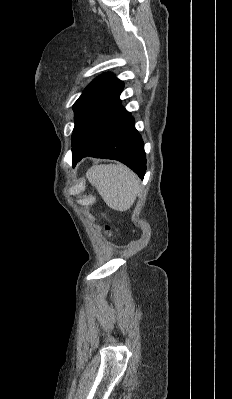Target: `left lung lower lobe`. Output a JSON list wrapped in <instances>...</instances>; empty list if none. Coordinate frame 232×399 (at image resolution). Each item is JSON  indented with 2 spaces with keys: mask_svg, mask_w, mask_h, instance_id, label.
I'll return each instance as SVG.
<instances>
[{
  "mask_svg": "<svg viewBox=\"0 0 232 399\" xmlns=\"http://www.w3.org/2000/svg\"><path fill=\"white\" fill-rule=\"evenodd\" d=\"M87 156L118 160L136 172L141 179L144 178L146 171L144 143L130 113L103 143L75 160L73 166Z\"/></svg>",
  "mask_w": 232,
  "mask_h": 399,
  "instance_id": "obj_1",
  "label": "left lung lower lobe"
}]
</instances>
